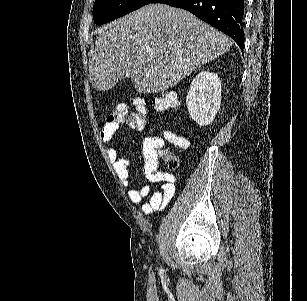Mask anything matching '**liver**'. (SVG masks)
I'll return each mask as SVG.
<instances>
[{
  "instance_id": "6515ba94",
  "label": "liver",
  "mask_w": 307,
  "mask_h": 301,
  "mask_svg": "<svg viewBox=\"0 0 307 301\" xmlns=\"http://www.w3.org/2000/svg\"><path fill=\"white\" fill-rule=\"evenodd\" d=\"M232 44V38L184 8L146 4L98 28L90 82L96 90H109L117 80L132 78L138 92H160Z\"/></svg>"
}]
</instances>
